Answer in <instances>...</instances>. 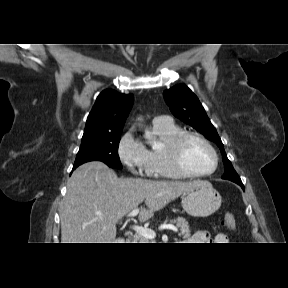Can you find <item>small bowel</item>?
Listing matches in <instances>:
<instances>
[{"mask_svg": "<svg viewBox=\"0 0 288 288\" xmlns=\"http://www.w3.org/2000/svg\"><path fill=\"white\" fill-rule=\"evenodd\" d=\"M190 241L192 243H209V242H216V243H228V237L223 233H217L215 236L211 237L207 231L200 230L195 232Z\"/></svg>", "mask_w": 288, "mask_h": 288, "instance_id": "1", "label": "small bowel"}]
</instances>
